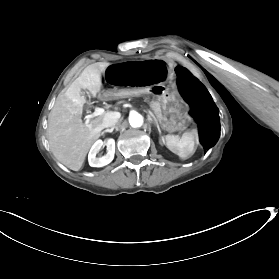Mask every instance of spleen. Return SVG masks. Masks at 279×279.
<instances>
[{"label":"spleen","mask_w":279,"mask_h":279,"mask_svg":"<svg viewBox=\"0 0 279 279\" xmlns=\"http://www.w3.org/2000/svg\"><path fill=\"white\" fill-rule=\"evenodd\" d=\"M165 142L167 148L182 159H188L195 152L193 132H185L181 138L175 135H166Z\"/></svg>","instance_id":"obj_1"}]
</instances>
